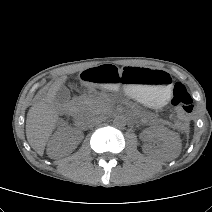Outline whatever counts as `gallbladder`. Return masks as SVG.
Returning a JSON list of instances; mask_svg holds the SVG:
<instances>
[{
  "label": "gallbladder",
  "instance_id": "bac80fb5",
  "mask_svg": "<svg viewBox=\"0 0 212 212\" xmlns=\"http://www.w3.org/2000/svg\"><path fill=\"white\" fill-rule=\"evenodd\" d=\"M69 99H70V91L68 88L64 86L59 88L54 98L55 103L58 105H64L66 102L69 101Z\"/></svg>",
  "mask_w": 212,
  "mask_h": 212
}]
</instances>
